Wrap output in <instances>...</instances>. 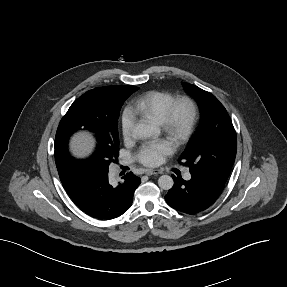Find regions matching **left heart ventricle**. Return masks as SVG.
Instances as JSON below:
<instances>
[{
    "instance_id": "1",
    "label": "left heart ventricle",
    "mask_w": 287,
    "mask_h": 287,
    "mask_svg": "<svg viewBox=\"0 0 287 287\" xmlns=\"http://www.w3.org/2000/svg\"><path fill=\"white\" fill-rule=\"evenodd\" d=\"M179 117H180L181 119H183V118L185 117V111H184L183 109H181V110L179 111Z\"/></svg>"
}]
</instances>
